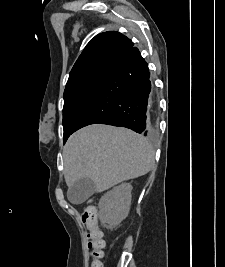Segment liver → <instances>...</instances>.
Here are the masks:
<instances>
[{"instance_id":"1","label":"liver","mask_w":225,"mask_h":267,"mask_svg":"<svg viewBox=\"0 0 225 267\" xmlns=\"http://www.w3.org/2000/svg\"><path fill=\"white\" fill-rule=\"evenodd\" d=\"M154 150L143 136L126 128L88 125L72 134L63 149L68 187L81 178L103 192L123 181L147 174L154 165Z\"/></svg>"}]
</instances>
